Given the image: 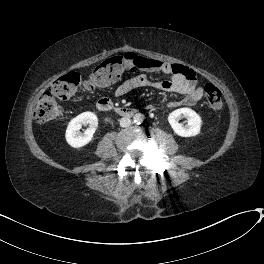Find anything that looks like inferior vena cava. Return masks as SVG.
Instances as JSON below:
<instances>
[{
  "mask_svg": "<svg viewBox=\"0 0 264 264\" xmlns=\"http://www.w3.org/2000/svg\"><path fill=\"white\" fill-rule=\"evenodd\" d=\"M121 127H128L131 124V120L128 117H123L119 120Z\"/></svg>",
  "mask_w": 264,
  "mask_h": 264,
  "instance_id": "inferior-vena-cava-1",
  "label": "inferior vena cava"
}]
</instances>
